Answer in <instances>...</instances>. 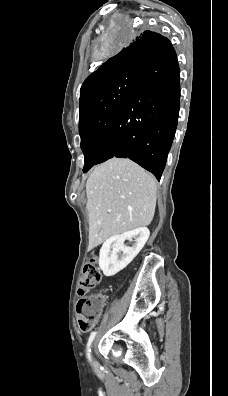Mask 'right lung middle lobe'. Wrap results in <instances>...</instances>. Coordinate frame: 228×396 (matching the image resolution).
Wrapping results in <instances>:
<instances>
[{
	"instance_id": "dd1d6c3e",
	"label": "right lung middle lobe",
	"mask_w": 228,
	"mask_h": 396,
	"mask_svg": "<svg viewBox=\"0 0 228 396\" xmlns=\"http://www.w3.org/2000/svg\"><path fill=\"white\" fill-rule=\"evenodd\" d=\"M140 70L112 78L89 93L80 104L79 134L87 172L96 164L109 131Z\"/></svg>"
}]
</instances>
